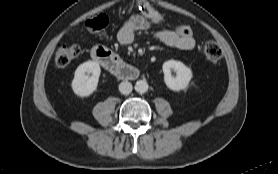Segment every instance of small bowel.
Returning a JSON list of instances; mask_svg holds the SVG:
<instances>
[{"label": "small bowel", "instance_id": "c3829d8e", "mask_svg": "<svg viewBox=\"0 0 278 174\" xmlns=\"http://www.w3.org/2000/svg\"><path fill=\"white\" fill-rule=\"evenodd\" d=\"M150 26L151 21L146 16L134 15L119 29L117 39L122 45H129L134 41L136 34L139 31L147 30ZM155 37L161 43L179 50H192L196 45V41L193 37L179 36L170 29L157 31Z\"/></svg>", "mask_w": 278, "mask_h": 174}]
</instances>
